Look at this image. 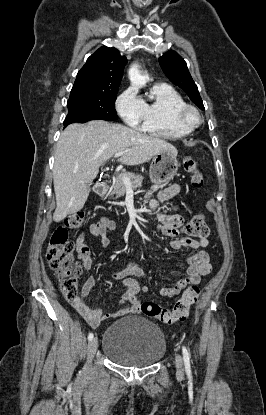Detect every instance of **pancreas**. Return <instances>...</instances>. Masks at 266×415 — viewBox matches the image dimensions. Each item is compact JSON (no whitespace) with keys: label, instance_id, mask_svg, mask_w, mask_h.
<instances>
[{"label":"pancreas","instance_id":"1","mask_svg":"<svg viewBox=\"0 0 266 415\" xmlns=\"http://www.w3.org/2000/svg\"><path fill=\"white\" fill-rule=\"evenodd\" d=\"M124 175L130 179L131 184H132V189H135L139 186H141L142 184V180L143 177L141 175L138 174H134L131 172H125ZM126 192V186L123 183L122 177L118 176L115 177L112 181V185L109 188V196L113 197L114 195H116V199L123 196Z\"/></svg>","mask_w":266,"mask_h":415}]
</instances>
